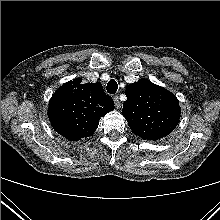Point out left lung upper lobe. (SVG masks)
I'll list each match as a JSON object with an SVG mask.
<instances>
[{
    "label": "left lung upper lobe",
    "instance_id": "left-lung-upper-lobe-1",
    "mask_svg": "<svg viewBox=\"0 0 220 220\" xmlns=\"http://www.w3.org/2000/svg\"><path fill=\"white\" fill-rule=\"evenodd\" d=\"M123 116L136 135L158 140L171 133L179 123L177 98L168 90L149 80L140 79L126 89Z\"/></svg>",
    "mask_w": 220,
    "mask_h": 220
}]
</instances>
